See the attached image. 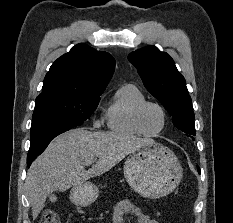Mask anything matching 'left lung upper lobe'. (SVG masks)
Masks as SVG:
<instances>
[{
	"label": "left lung upper lobe",
	"mask_w": 233,
	"mask_h": 223,
	"mask_svg": "<svg viewBox=\"0 0 233 223\" xmlns=\"http://www.w3.org/2000/svg\"><path fill=\"white\" fill-rule=\"evenodd\" d=\"M128 60L137 68L147 90L163 103L173 117L174 126L188 137L195 136L191 98L186 81L173 59L155 46H147L130 53Z\"/></svg>",
	"instance_id": "1"
}]
</instances>
